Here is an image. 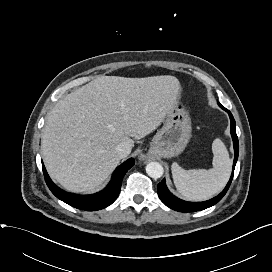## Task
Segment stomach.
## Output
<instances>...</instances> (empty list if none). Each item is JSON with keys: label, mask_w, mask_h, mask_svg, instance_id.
<instances>
[{"label": "stomach", "mask_w": 272, "mask_h": 272, "mask_svg": "<svg viewBox=\"0 0 272 272\" xmlns=\"http://www.w3.org/2000/svg\"><path fill=\"white\" fill-rule=\"evenodd\" d=\"M191 137V120L184 106L177 102L166 117L164 125L151 142L149 154L171 158L181 154Z\"/></svg>", "instance_id": "0dacf381"}]
</instances>
